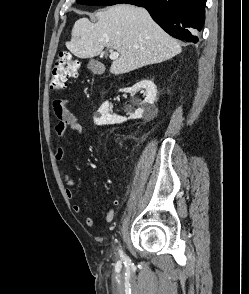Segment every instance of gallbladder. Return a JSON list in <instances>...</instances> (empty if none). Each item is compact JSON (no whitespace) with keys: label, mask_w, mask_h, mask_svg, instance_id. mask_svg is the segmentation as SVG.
<instances>
[{"label":"gallbladder","mask_w":249,"mask_h":294,"mask_svg":"<svg viewBox=\"0 0 249 294\" xmlns=\"http://www.w3.org/2000/svg\"><path fill=\"white\" fill-rule=\"evenodd\" d=\"M88 68L94 74H102L105 71V67L97 60L91 59L88 63Z\"/></svg>","instance_id":"bac80fb5"}]
</instances>
